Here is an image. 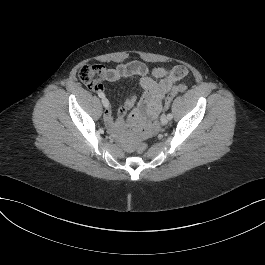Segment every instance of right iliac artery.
<instances>
[{"instance_id":"obj_1","label":"right iliac artery","mask_w":265,"mask_h":265,"mask_svg":"<svg viewBox=\"0 0 265 265\" xmlns=\"http://www.w3.org/2000/svg\"><path fill=\"white\" fill-rule=\"evenodd\" d=\"M98 96H99L100 98H102V99L105 98V94L102 93V92H101V93H98Z\"/></svg>"}]
</instances>
